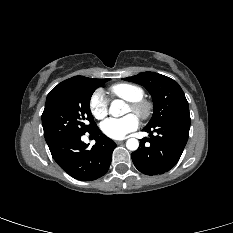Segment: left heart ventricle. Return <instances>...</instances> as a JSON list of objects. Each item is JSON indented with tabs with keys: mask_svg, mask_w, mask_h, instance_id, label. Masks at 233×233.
<instances>
[{
	"mask_svg": "<svg viewBox=\"0 0 233 233\" xmlns=\"http://www.w3.org/2000/svg\"><path fill=\"white\" fill-rule=\"evenodd\" d=\"M130 112V110H129V108H128V106L126 107V113H129Z\"/></svg>",
	"mask_w": 233,
	"mask_h": 233,
	"instance_id": "b2bd125f",
	"label": "left heart ventricle"
}]
</instances>
